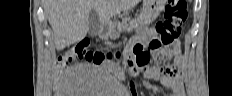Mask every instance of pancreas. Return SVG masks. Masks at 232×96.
I'll return each mask as SVG.
<instances>
[{
    "label": "pancreas",
    "instance_id": "cf45deb5",
    "mask_svg": "<svg viewBox=\"0 0 232 96\" xmlns=\"http://www.w3.org/2000/svg\"><path fill=\"white\" fill-rule=\"evenodd\" d=\"M128 19L129 18L126 17V15H125V18H123L122 23L115 21L114 24L109 25V28L111 30H113L114 35H119V32L125 29V27L127 26ZM115 28H116V30H115Z\"/></svg>",
    "mask_w": 232,
    "mask_h": 96
}]
</instances>
